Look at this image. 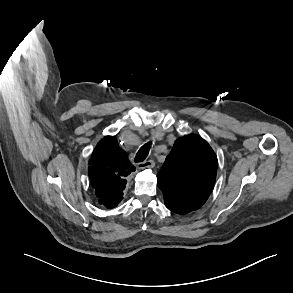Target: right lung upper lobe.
Instances as JSON below:
<instances>
[{
    "mask_svg": "<svg viewBox=\"0 0 293 293\" xmlns=\"http://www.w3.org/2000/svg\"><path fill=\"white\" fill-rule=\"evenodd\" d=\"M89 177L99 203L111 209L123 198L126 177L135 171L114 136H106L97 144L89 160Z\"/></svg>",
    "mask_w": 293,
    "mask_h": 293,
    "instance_id": "right-lung-upper-lobe-1",
    "label": "right lung upper lobe"
}]
</instances>
